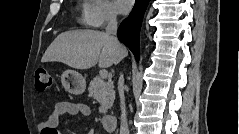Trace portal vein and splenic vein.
I'll use <instances>...</instances> for the list:
<instances>
[{"instance_id":"obj_1","label":"portal vein and splenic vein","mask_w":239,"mask_h":134,"mask_svg":"<svg viewBox=\"0 0 239 134\" xmlns=\"http://www.w3.org/2000/svg\"><path fill=\"white\" fill-rule=\"evenodd\" d=\"M107 76H108L107 70H101V71H100V77H101L102 79H106Z\"/></svg>"}]
</instances>
